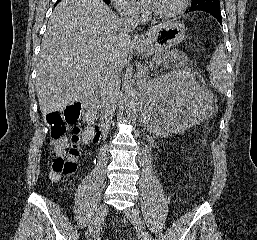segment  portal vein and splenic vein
<instances>
[{
  "label": "portal vein and splenic vein",
  "mask_w": 257,
  "mask_h": 240,
  "mask_svg": "<svg viewBox=\"0 0 257 240\" xmlns=\"http://www.w3.org/2000/svg\"><path fill=\"white\" fill-rule=\"evenodd\" d=\"M147 70V68L146 67H144V69H142L140 72H141V74H144V72Z\"/></svg>",
  "instance_id": "1"
}]
</instances>
